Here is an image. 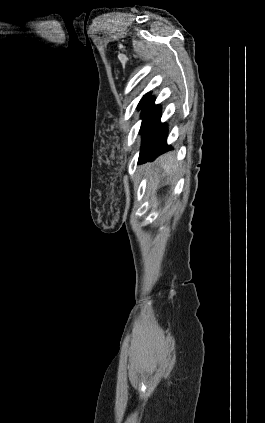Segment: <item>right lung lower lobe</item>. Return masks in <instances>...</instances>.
I'll return each instance as SVG.
<instances>
[{"label":"right lung lower lobe","instance_id":"right-lung-lower-lobe-1","mask_svg":"<svg viewBox=\"0 0 265 423\" xmlns=\"http://www.w3.org/2000/svg\"><path fill=\"white\" fill-rule=\"evenodd\" d=\"M154 98H147L142 108V125L140 132L142 134V146L139 156V162L152 160L159 154L171 149L167 145V126L160 123L161 106L154 105Z\"/></svg>","mask_w":265,"mask_h":423}]
</instances>
